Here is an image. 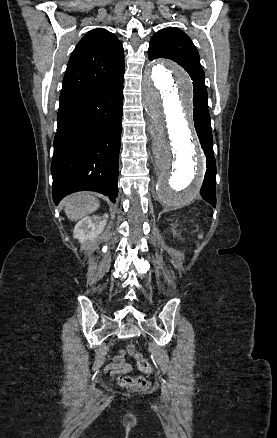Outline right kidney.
<instances>
[{
	"label": "right kidney",
	"mask_w": 277,
	"mask_h": 438,
	"mask_svg": "<svg viewBox=\"0 0 277 438\" xmlns=\"http://www.w3.org/2000/svg\"><path fill=\"white\" fill-rule=\"evenodd\" d=\"M107 218H109L108 214H103V216H85L76 224L73 230V238L79 240L81 244H84L87 240L97 238L103 232L107 224Z\"/></svg>",
	"instance_id": "ca27d5eb"
}]
</instances>
